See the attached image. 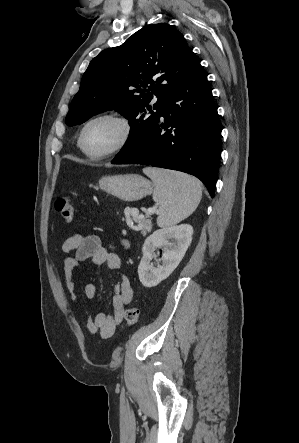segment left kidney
Here are the masks:
<instances>
[{
    "label": "left kidney",
    "mask_w": 299,
    "mask_h": 443,
    "mask_svg": "<svg viewBox=\"0 0 299 443\" xmlns=\"http://www.w3.org/2000/svg\"><path fill=\"white\" fill-rule=\"evenodd\" d=\"M193 227L181 224L162 228L153 232L144 242L143 257L138 266L140 282L145 287H154L166 279L179 265L192 241ZM164 248V253L157 268L150 264L154 251Z\"/></svg>",
    "instance_id": "1"
}]
</instances>
